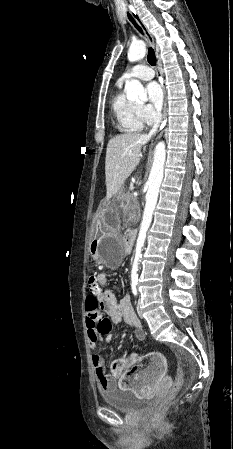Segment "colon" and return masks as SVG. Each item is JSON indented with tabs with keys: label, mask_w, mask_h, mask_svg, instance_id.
<instances>
[{
	"label": "colon",
	"mask_w": 233,
	"mask_h": 449,
	"mask_svg": "<svg viewBox=\"0 0 233 449\" xmlns=\"http://www.w3.org/2000/svg\"><path fill=\"white\" fill-rule=\"evenodd\" d=\"M97 296L83 297L82 304L84 307L83 322L86 323L87 328H96L97 334H102L104 338H111L113 332L111 330V323L108 314L104 308L99 306ZM149 359H141L138 364L133 365L131 362L125 364V368L128 372V376L132 375L138 367L148 365ZM183 385V374L179 372L174 382L172 383L166 399L160 404L158 409L154 412V416L158 415L163 409L168 406L170 401L176 396ZM121 387L130 388L131 384L129 379H125L121 382Z\"/></svg>",
	"instance_id": "colon-1"
}]
</instances>
